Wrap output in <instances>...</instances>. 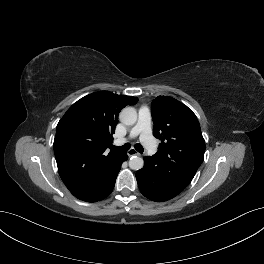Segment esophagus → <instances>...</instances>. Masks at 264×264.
Wrapping results in <instances>:
<instances>
[{
    "label": "esophagus",
    "mask_w": 264,
    "mask_h": 264,
    "mask_svg": "<svg viewBox=\"0 0 264 264\" xmlns=\"http://www.w3.org/2000/svg\"><path fill=\"white\" fill-rule=\"evenodd\" d=\"M128 156L131 157V156H134V155H139V153L134 149V148H131L128 152H127Z\"/></svg>",
    "instance_id": "1"
}]
</instances>
